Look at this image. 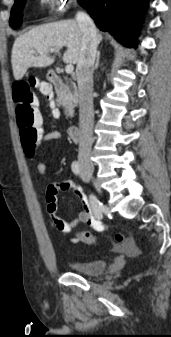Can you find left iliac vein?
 Segmentation results:
<instances>
[{
  "mask_svg": "<svg viewBox=\"0 0 171 337\" xmlns=\"http://www.w3.org/2000/svg\"><path fill=\"white\" fill-rule=\"evenodd\" d=\"M80 177H81V179H82L84 182H89V180H90V177L87 176V174L85 173L84 170H82V172H81V174H80Z\"/></svg>",
  "mask_w": 171,
  "mask_h": 337,
  "instance_id": "obj_1",
  "label": "left iliac vein"
}]
</instances>
